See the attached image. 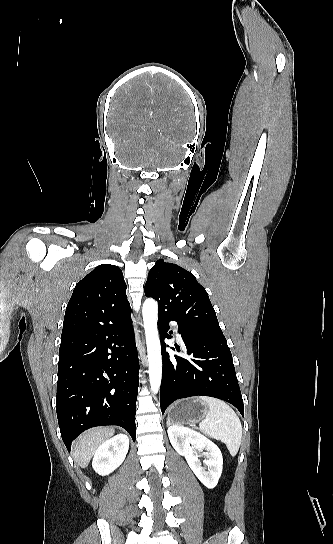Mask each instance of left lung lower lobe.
Masks as SVG:
<instances>
[{
    "label": "left lung lower lobe",
    "instance_id": "obj_1",
    "mask_svg": "<svg viewBox=\"0 0 333 544\" xmlns=\"http://www.w3.org/2000/svg\"><path fill=\"white\" fill-rule=\"evenodd\" d=\"M176 321L169 314L158 313V327L162 346L163 374L160 405L164 413L175 400L191 396H211L234 405L244 415V404L237 382L232 355L224 335L191 329L178 324L189 360L169 356L164 338L169 322ZM177 322V321H176ZM177 351L180 347L175 346Z\"/></svg>",
    "mask_w": 333,
    "mask_h": 544
}]
</instances>
